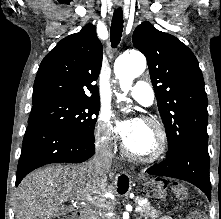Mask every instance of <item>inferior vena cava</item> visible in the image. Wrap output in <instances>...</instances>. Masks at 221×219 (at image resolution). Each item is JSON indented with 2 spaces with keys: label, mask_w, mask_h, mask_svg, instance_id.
<instances>
[{
  "label": "inferior vena cava",
  "mask_w": 221,
  "mask_h": 219,
  "mask_svg": "<svg viewBox=\"0 0 221 219\" xmlns=\"http://www.w3.org/2000/svg\"><path fill=\"white\" fill-rule=\"evenodd\" d=\"M112 147L106 142L102 141L96 146L95 155L91 160V165L95 173L99 176H106L112 165Z\"/></svg>",
  "instance_id": "inferior-vena-cava-1"
}]
</instances>
